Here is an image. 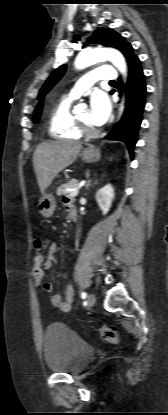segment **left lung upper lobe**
I'll return each mask as SVG.
<instances>
[{
  "label": "left lung upper lobe",
  "mask_w": 168,
  "mask_h": 415,
  "mask_svg": "<svg viewBox=\"0 0 168 415\" xmlns=\"http://www.w3.org/2000/svg\"><path fill=\"white\" fill-rule=\"evenodd\" d=\"M90 43H100L104 46L114 47L119 49L125 56L127 63L135 56L132 46L117 32L112 29L100 28L97 29L93 36L89 39ZM66 70V65L57 68L42 86L38 98L41 99L48 93V91L60 80Z\"/></svg>",
  "instance_id": "1"
}]
</instances>
